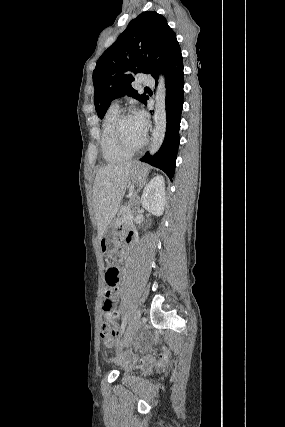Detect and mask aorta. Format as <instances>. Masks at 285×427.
<instances>
[{
    "label": "aorta",
    "mask_w": 285,
    "mask_h": 427,
    "mask_svg": "<svg viewBox=\"0 0 285 427\" xmlns=\"http://www.w3.org/2000/svg\"><path fill=\"white\" fill-rule=\"evenodd\" d=\"M166 88L165 78L161 74L158 80V86L155 94V111H154V123L155 127L152 132V144L149 148L151 155H154L160 149L166 132Z\"/></svg>",
    "instance_id": "obj_1"
}]
</instances>
